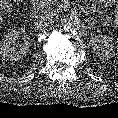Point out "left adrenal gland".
<instances>
[{"instance_id":"obj_1","label":"left adrenal gland","mask_w":118,"mask_h":118,"mask_svg":"<svg viewBox=\"0 0 118 118\" xmlns=\"http://www.w3.org/2000/svg\"><path fill=\"white\" fill-rule=\"evenodd\" d=\"M89 24L92 28H95L94 23L89 21Z\"/></svg>"}]
</instances>
